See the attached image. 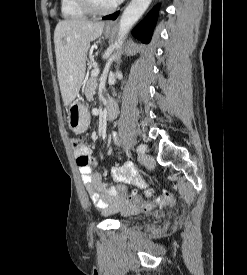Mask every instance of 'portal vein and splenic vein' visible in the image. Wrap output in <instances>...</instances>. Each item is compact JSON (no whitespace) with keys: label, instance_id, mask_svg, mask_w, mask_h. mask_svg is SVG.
Returning <instances> with one entry per match:
<instances>
[{"label":"portal vein and splenic vein","instance_id":"1","mask_svg":"<svg viewBox=\"0 0 247 275\" xmlns=\"http://www.w3.org/2000/svg\"><path fill=\"white\" fill-rule=\"evenodd\" d=\"M99 72H100L99 69H94V70L92 71V75L98 76Z\"/></svg>","mask_w":247,"mask_h":275}]
</instances>
